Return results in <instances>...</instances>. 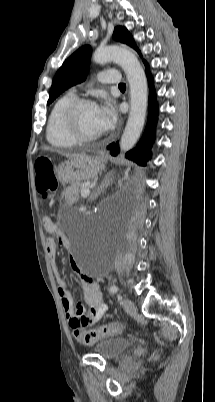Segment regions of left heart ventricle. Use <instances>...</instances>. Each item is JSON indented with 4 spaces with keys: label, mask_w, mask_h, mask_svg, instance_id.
I'll return each mask as SVG.
<instances>
[{
    "label": "left heart ventricle",
    "mask_w": 215,
    "mask_h": 402,
    "mask_svg": "<svg viewBox=\"0 0 215 402\" xmlns=\"http://www.w3.org/2000/svg\"><path fill=\"white\" fill-rule=\"evenodd\" d=\"M80 130L86 135L100 134L97 124V106H84L78 116Z\"/></svg>",
    "instance_id": "1"
}]
</instances>
